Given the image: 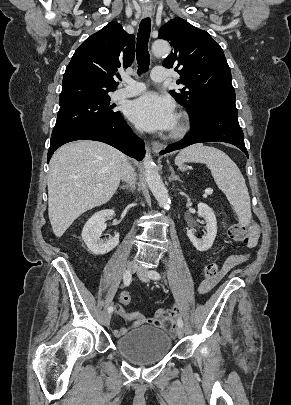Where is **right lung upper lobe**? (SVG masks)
Instances as JSON below:
<instances>
[{
    "instance_id": "cb5924a9",
    "label": "right lung upper lobe",
    "mask_w": 291,
    "mask_h": 405,
    "mask_svg": "<svg viewBox=\"0 0 291 405\" xmlns=\"http://www.w3.org/2000/svg\"><path fill=\"white\" fill-rule=\"evenodd\" d=\"M135 56V36L117 22H110L86 39L75 51L62 82L59 101L109 96L121 66L128 67Z\"/></svg>"
}]
</instances>
